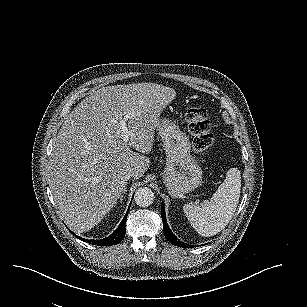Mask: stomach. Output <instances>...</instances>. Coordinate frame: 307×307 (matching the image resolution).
I'll return each instance as SVG.
<instances>
[{
	"mask_svg": "<svg viewBox=\"0 0 307 307\" xmlns=\"http://www.w3.org/2000/svg\"><path fill=\"white\" fill-rule=\"evenodd\" d=\"M156 131L166 155L163 182L169 194L180 197L193 191L202 183V169L191 155L188 136L168 118L160 120Z\"/></svg>",
	"mask_w": 307,
	"mask_h": 307,
	"instance_id": "0dacf381",
	"label": "stomach"
}]
</instances>
